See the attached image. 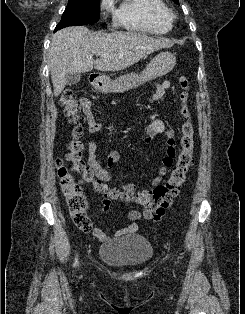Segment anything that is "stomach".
<instances>
[{"label": "stomach", "instance_id": "0dacf381", "mask_svg": "<svg viewBox=\"0 0 245 314\" xmlns=\"http://www.w3.org/2000/svg\"><path fill=\"white\" fill-rule=\"evenodd\" d=\"M176 64V57L170 52H161L153 58L140 74H127L113 81L106 75H98L92 82L93 87L101 93H119L136 88L169 73Z\"/></svg>", "mask_w": 245, "mask_h": 314}]
</instances>
